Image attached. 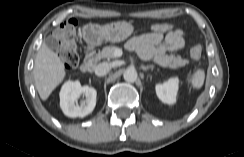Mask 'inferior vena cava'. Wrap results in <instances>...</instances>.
I'll use <instances>...</instances> for the list:
<instances>
[{"label":"inferior vena cava","mask_w":244,"mask_h":157,"mask_svg":"<svg viewBox=\"0 0 244 157\" xmlns=\"http://www.w3.org/2000/svg\"><path fill=\"white\" fill-rule=\"evenodd\" d=\"M111 70V65L107 62L99 63L95 67V74L97 76H105Z\"/></svg>","instance_id":"obj_1"}]
</instances>
